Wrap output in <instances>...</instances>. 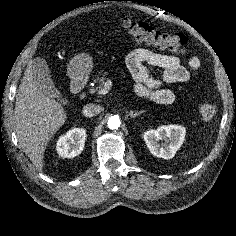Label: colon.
<instances>
[{
	"label": "colon",
	"mask_w": 236,
	"mask_h": 236,
	"mask_svg": "<svg viewBox=\"0 0 236 236\" xmlns=\"http://www.w3.org/2000/svg\"><path fill=\"white\" fill-rule=\"evenodd\" d=\"M121 27L138 43L178 52L185 50L187 44L186 37L182 34L162 32L149 24L135 22L128 18L122 20ZM198 111L202 119L210 120L216 114V107L209 102H203L199 105Z\"/></svg>",
	"instance_id": "1"
}]
</instances>
